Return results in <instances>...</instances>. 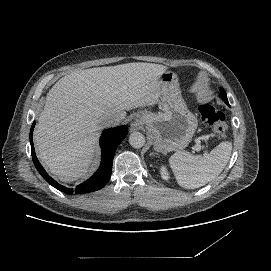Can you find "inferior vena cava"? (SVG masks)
Instances as JSON below:
<instances>
[{
	"mask_svg": "<svg viewBox=\"0 0 271 271\" xmlns=\"http://www.w3.org/2000/svg\"><path fill=\"white\" fill-rule=\"evenodd\" d=\"M96 122L102 127H110L118 125L120 120L113 116L101 115L96 119Z\"/></svg>",
	"mask_w": 271,
	"mask_h": 271,
	"instance_id": "602c4592",
	"label": "inferior vena cava"
}]
</instances>
